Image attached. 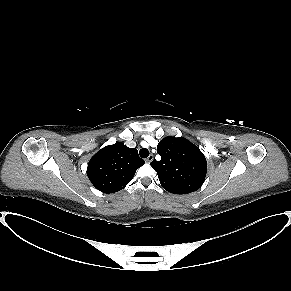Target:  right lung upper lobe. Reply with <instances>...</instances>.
I'll return each mask as SVG.
<instances>
[{
  "label": "right lung upper lobe",
  "mask_w": 291,
  "mask_h": 291,
  "mask_svg": "<svg viewBox=\"0 0 291 291\" xmlns=\"http://www.w3.org/2000/svg\"><path fill=\"white\" fill-rule=\"evenodd\" d=\"M144 163L136 148L118 142L102 148L90 159L87 175L95 188L114 193L123 189Z\"/></svg>",
  "instance_id": "right-lung-upper-lobe-1"
}]
</instances>
